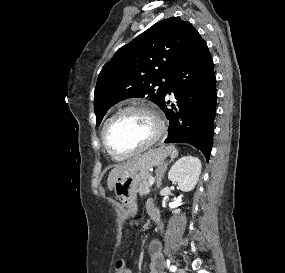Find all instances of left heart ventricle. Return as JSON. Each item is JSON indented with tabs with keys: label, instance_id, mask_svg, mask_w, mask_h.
<instances>
[{
	"label": "left heart ventricle",
	"instance_id": "obj_1",
	"mask_svg": "<svg viewBox=\"0 0 285 273\" xmlns=\"http://www.w3.org/2000/svg\"><path fill=\"white\" fill-rule=\"evenodd\" d=\"M154 133L155 124L148 114L130 111L113 122L108 131V140L114 149L127 152L146 143Z\"/></svg>",
	"mask_w": 285,
	"mask_h": 273
}]
</instances>
